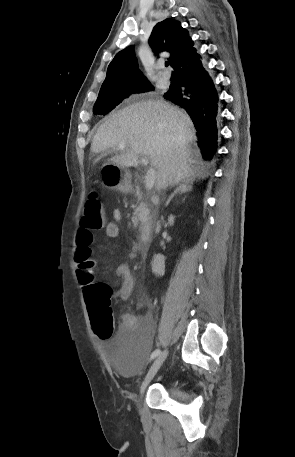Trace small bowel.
<instances>
[{
  "instance_id": "1",
  "label": "small bowel",
  "mask_w": 295,
  "mask_h": 457,
  "mask_svg": "<svg viewBox=\"0 0 295 457\" xmlns=\"http://www.w3.org/2000/svg\"><path fill=\"white\" fill-rule=\"evenodd\" d=\"M113 218V221L106 224L105 233L111 239H118L122 234V214L119 209L113 210ZM93 240L94 235L92 231L81 227L78 230L76 237V257L80 254H86L90 257ZM138 249L139 245L136 241H134L132 249L128 252V256L134 257ZM116 275L120 280V286L117 290L116 296L120 302H123L126 301L133 292L135 283L134 277L127 264H120L116 269ZM78 278L80 279L79 276ZM146 304V302L142 301L139 303V306L144 307ZM154 326V314L149 309L146 310V312L141 316H136L130 313H123L119 326V338H125L126 336L136 332L151 333L154 329Z\"/></svg>"
}]
</instances>
